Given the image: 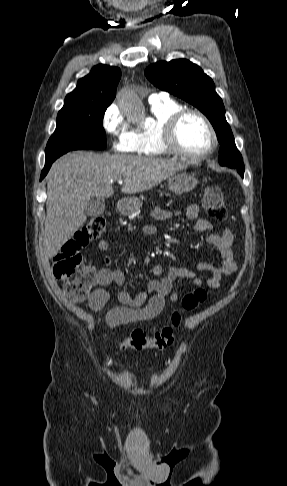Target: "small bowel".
<instances>
[{
	"instance_id": "1",
	"label": "small bowel",
	"mask_w": 287,
	"mask_h": 486,
	"mask_svg": "<svg viewBox=\"0 0 287 486\" xmlns=\"http://www.w3.org/2000/svg\"><path fill=\"white\" fill-rule=\"evenodd\" d=\"M150 217L156 220H167L173 218L174 213L157 207L150 213ZM186 217L195 221L194 229L198 232L212 229L209 220L199 217V208L195 204L187 207ZM142 232L145 235H155L157 228L153 225H144ZM233 238V233L229 228H224L221 233H212L208 236L209 244L220 253L222 258L220 264L200 263L195 271L176 267L165 269L161 264H155L152 267L154 278L147 283L144 291L136 295H131L127 291L118 293L117 299L121 305L112 308L107 313L108 325L113 328L119 325L148 321L157 317L164 308L166 298H169L172 302L178 301L179 294L173 290L174 282L177 279H187L196 287L205 283L210 288H218L222 277L233 275L238 270V263L232 248ZM98 249L107 252L109 249L108 241L100 240ZM105 264L97 273V288L93 290L88 299L90 308L96 312L102 310L110 300V288L114 285L123 286L125 283V274L119 269L111 268V260L108 256L105 257ZM202 272L211 274L205 282L199 276Z\"/></svg>"
}]
</instances>
